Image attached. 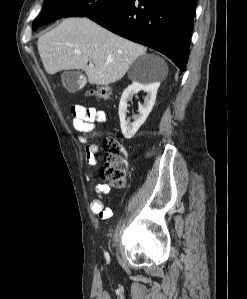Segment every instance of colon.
I'll use <instances>...</instances> for the list:
<instances>
[{
  "instance_id": "colon-1",
  "label": "colon",
  "mask_w": 247,
  "mask_h": 299,
  "mask_svg": "<svg viewBox=\"0 0 247 299\" xmlns=\"http://www.w3.org/2000/svg\"><path fill=\"white\" fill-rule=\"evenodd\" d=\"M86 95L107 100L111 97L112 90L107 86H103L88 90ZM103 147L105 155L101 175L113 186L122 187L126 177L124 160L126 149L117 138L112 136L104 140Z\"/></svg>"
}]
</instances>
